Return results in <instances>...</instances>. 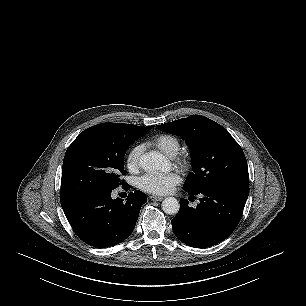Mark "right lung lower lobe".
<instances>
[{
  "mask_svg": "<svg viewBox=\"0 0 306 306\" xmlns=\"http://www.w3.org/2000/svg\"><path fill=\"white\" fill-rule=\"evenodd\" d=\"M125 188H130L128 184ZM112 190H96L61 202L74 232L94 247H110L125 240L133 231L147 197L135 191L122 199H112Z\"/></svg>",
  "mask_w": 306,
  "mask_h": 306,
  "instance_id": "right-lung-lower-lobe-1",
  "label": "right lung lower lobe"
}]
</instances>
